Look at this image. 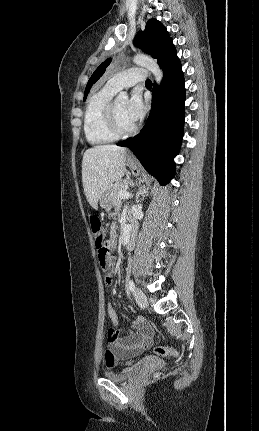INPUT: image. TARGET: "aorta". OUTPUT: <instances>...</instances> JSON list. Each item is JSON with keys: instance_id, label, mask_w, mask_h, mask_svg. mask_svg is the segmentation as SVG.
<instances>
[{"instance_id": "aorta-1", "label": "aorta", "mask_w": 259, "mask_h": 431, "mask_svg": "<svg viewBox=\"0 0 259 431\" xmlns=\"http://www.w3.org/2000/svg\"><path fill=\"white\" fill-rule=\"evenodd\" d=\"M133 62L141 67H145L148 69L153 75L157 82V84H160L163 79V73L160 69L159 65L157 64V61L152 59L151 57H148L146 55H135L133 58ZM128 100V95L126 92L122 91L117 96L118 102H123Z\"/></svg>"}]
</instances>
